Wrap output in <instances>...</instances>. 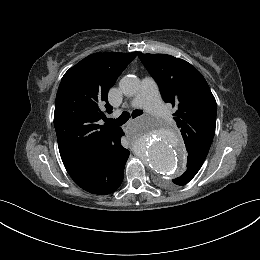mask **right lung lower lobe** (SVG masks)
Listing matches in <instances>:
<instances>
[{
	"mask_svg": "<svg viewBox=\"0 0 260 260\" xmlns=\"http://www.w3.org/2000/svg\"><path fill=\"white\" fill-rule=\"evenodd\" d=\"M123 135L124 132L121 131L116 144L98 152L79 167L68 172L79 187L98 195H107L118 189L129 157V151L120 142Z\"/></svg>",
	"mask_w": 260,
	"mask_h": 260,
	"instance_id": "1",
	"label": "right lung lower lobe"
}]
</instances>
